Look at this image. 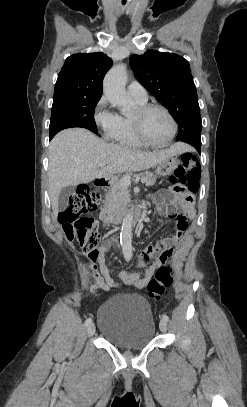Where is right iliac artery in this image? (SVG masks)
<instances>
[{
    "label": "right iliac artery",
    "mask_w": 247,
    "mask_h": 407,
    "mask_svg": "<svg viewBox=\"0 0 247 407\" xmlns=\"http://www.w3.org/2000/svg\"><path fill=\"white\" fill-rule=\"evenodd\" d=\"M91 322H92L91 318L86 319V321H85V326L90 325Z\"/></svg>",
    "instance_id": "82829eb1"
}]
</instances>
